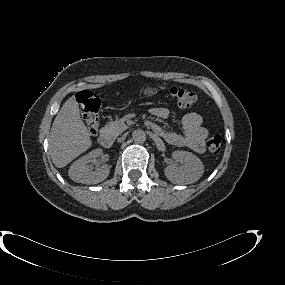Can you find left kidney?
Masks as SVG:
<instances>
[{"label": "left kidney", "mask_w": 285, "mask_h": 285, "mask_svg": "<svg viewBox=\"0 0 285 285\" xmlns=\"http://www.w3.org/2000/svg\"><path fill=\"white\" fill-rule=\"evenodd\" d=\"M174 159L183 162L181 167L167 166L164 170L166 178L178 184H191L200 179L204 172V166L201 160L191 152L174 151Z\"/></svg>", "instance_id": "1"}]
</instances>
